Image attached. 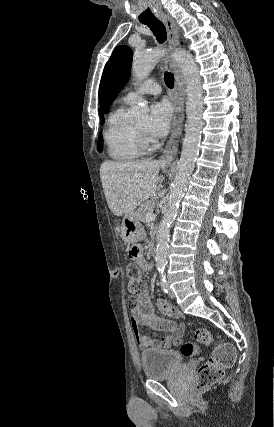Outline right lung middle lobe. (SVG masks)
I'll use <instances>...</instances> for the list:
<instances>
[{
	"label": "right lung middle lobe",
	"mask_w": 274,
	"mask_h": 427,
	"mask_svg": "<svg viewBox=\"0 0 274 427\" xmlns=\"http://www.w3.org/2000/svg\"><path fill=\"white\" fill-rule=\"evenodd\" d=\"M97 149L99 152H101L103 149V140H102V134L101 133L99 134Z\"/></svg>",
	"instance_id": "dd1d6c3e"
}]
</instances>
